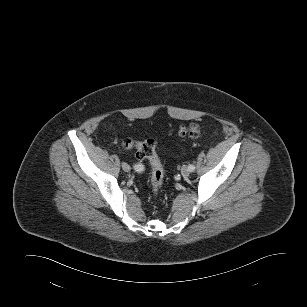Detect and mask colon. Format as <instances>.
<instances>
[{
  "label": "colon",
  "mask_w": 307,
  "mask_h": 307,
  "mask_svg": "<svg viewBox=\"0 0 307 307\" xmlns=\"http://www.w3.org/2000/svg\"><path fill=\"white\" fill-rule=\"evenodd\" d=\"M179 136H189L197 138L201 134V129L197 124L181 125L174 130ZM125 150L133 149L135 155L139 160H147L152 168L151 185L155 194H157L162 186L164 179V172L162 164L156 153L155 142L152 139L137 141L133 139H126L123 144Z\"/></svg>",
  "instance_id": "5ec220e1"
}]
</instances>
